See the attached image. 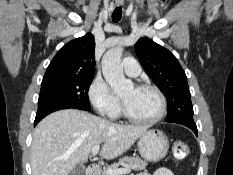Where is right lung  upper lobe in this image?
Listing matches in <instances>:
<instances>
[{
    "instance_id": "cb5924a9",
    "label": "right lung upper lobe",
    "mask_w": 233,
    "mask_h": 175,
    "mask_svg": "<svg viewBox=\"0 0 233 175\" xmlns=\"http://www.w3.org/2000/svg\"><path fill=\"white\" fill-rule=\"evenodd\" d=\"M94 49L95 41L92 34L70 41L57 52L44 78L94 75Z\"/></svg>"
}]
</instances>
